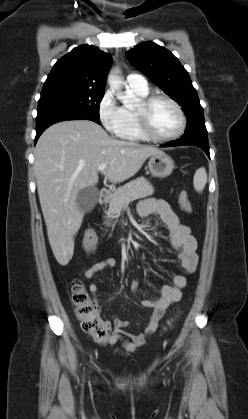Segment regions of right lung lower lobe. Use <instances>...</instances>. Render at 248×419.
Returning <instances> with one entry per match:
<instances>
[{"label":"right lung lower lobe","mask_w":248,"mask_h":419,"mask_svg":"<svg viewBox=\"0 0 248 419\" xmlns=\"http://www.w3.org/2000/svg\"><path fill=\"white\" fill-rule=\"evenodd\" d=\"M77 119H87L92 120L96 122L93 118H91L89 115L79 112V111H55V112H49L45 114L38 115L36 118V137H35V143L37 142L39 136L42 134V132L48 128L50 125L65 121V120H77ZM98 123V122H96Z\"/></svg>","instance_id":"right-lung-lower-lobe-1"}]
</instances>
